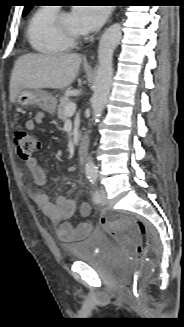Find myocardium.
<instances>
[{
  "label": "myocardium",
  "instance_id": "1",
  "mask_svg": "<svg viewBox=\"0 0 184 327\" xmlns=\"http://www.w3.org/2000/svg\"><path fill=\"white\" fill-rule=\"evenodd\" d=\"M67 13V11H61L58 12L55 20H54V24L55 27L57 29V31L67 40L69 41L71 44H76L78 42H80L83 38V35L81 33H75L72 32L70 30H68L65 27L64 24V15Z\"/></svg>",
  "mask_w": 184,
  "mask_h": 327
}]
</instances>
